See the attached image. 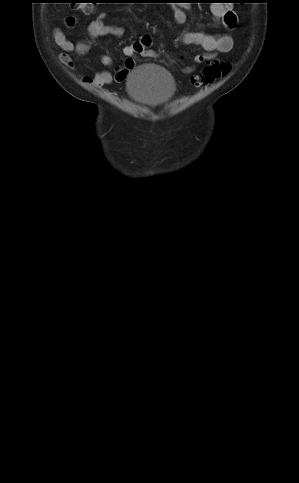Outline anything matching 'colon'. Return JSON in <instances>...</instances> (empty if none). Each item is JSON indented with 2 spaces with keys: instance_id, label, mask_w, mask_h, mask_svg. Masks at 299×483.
I'll list each match as a JSON object with an SVG mask.
<instances>
[{
  "instance_id": "1",
  "label": "colon",
  "mask_w": 299,
  "mask_h": 483,
  "mask_svg": "<svg viewBox=\"0 0 299 483\" xmlns=\"http://www.w3.org/2000/svg\"><path fill=\"white\" fill-rule=\"evenodd\" d=\"M77 8L83 13H90L93 9V0H81L77 2ZM230 70V64L227 62L222 63H212L207 65L201 76H195L193 78V83L196 86L205 85L211 83L212 81L225 76Z\"/></svg>"
}]
</instances>
